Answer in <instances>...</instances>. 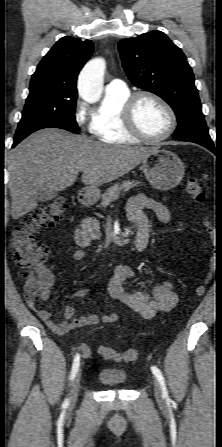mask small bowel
Wrapping results in <instances>:
<instances>
[{"instance_id":"small-bowel-1","label":"small bowel","mask_w":222,"mask_h":447,"mask_svg":"<svg viewBox=\"0 0 222 447\" xmlns=\"http://www.w3.org/2000/svg\"><path fill=\"white\" fill-rule=\"evenodd\" d=\"M144 209H150L155 212L158 219L166 223L169 221L170 214L168 209L161 203H158L144 194H138L132 197L127 205L126 217L137 226V235L134 241L136 251H142L146 247V237L148 234V223L143 215ZM73 258L77 261L88 257L89 252L75 248ZM134 270L126 264H118L114 268L113 276L108 285L109 295L125 303L133 312L137 313L143 319H150L158 312H169L175 308L178 302V295L173 289L170 281H164L156 284L151 291L139 289L134 292L128 291L124 284L134 278ZM53 287V276L50 275L49 281L45 284L40 299L45 306H40L37 302H27L26 304L47 326L58 334H67L70 331L82 327L94 326L102 323H116L119 316L114 312H108L103 315L91 314L82 317H75V308L72 305H66L62 312L63 321L55 323L52 320V312L49 309L48 301L51 297ZM90 292L87 287L76 289L72 293L74 299L86 297ZM78 351L85 357H91L92 353L88 346L80 344Z\"/></svg>"}]
</instances>
